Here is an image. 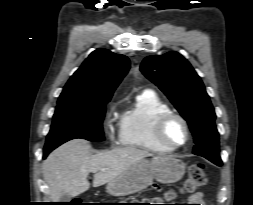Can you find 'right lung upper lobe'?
I'll use <instances>...</instances> for the list:
<instances>
[{
    "mask_svg": "<svg viewBox=\"0 0 253 205\" xmlns=\"http://www.w3.org/2000/svg\"><path fill=\"white\" fill-rule=\"evenodd\" d=\"M124 55L99 48L92 52L65 85L58 103H94L110 99L129 70Z\"/></svg>",
    "mask_w": 253,
    "mask_h": 205,
    "instance_id": "cb5924a9",
    "label": "right lung upper lobe"
}]
</instances>
